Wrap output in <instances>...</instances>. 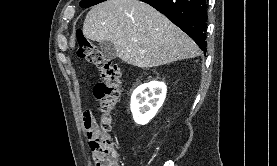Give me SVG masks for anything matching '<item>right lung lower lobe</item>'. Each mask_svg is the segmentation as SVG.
<instances>
[{
    "label": "right lung lower lobe",
    "instance_id": "obj_1",
    "mask_svg": "<svg viewBox=\"0 0 277 166\" xmlns=\"http://www.w3.org/2000/svg\"><path fill=\"white\" fill-rule=\"evenodd\" d=\"M168 17L206 52V0H141Z\"/></svg>",
    "mask_w": 277,
    "mask_h": 166
}]
</instances>
